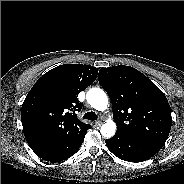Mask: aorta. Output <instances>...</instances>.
Instances as JSON below:
<instances>
[{"mask_svg":"<svg viewBox=\"0 0 184 184\" xmlns=\"http://www.w3.org/2000/svg\"><path fill=\"white\" fill-rule=\"evenodd\" d=\"M87 101L88 103L98 111H104L109 105L108 97L106 93L99 88H92L87 92ZM101 134L110 138L114 136L116 132V125L112 120H108L101 126Z\"/></svg>","mask_w":184,"mask_h":184,"instance_id":"aorta-1","label":"aorta"}]
</instances>
